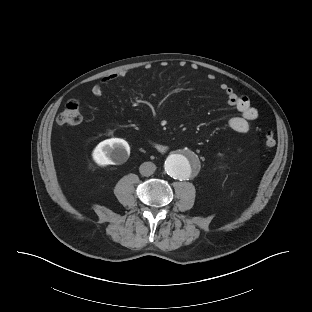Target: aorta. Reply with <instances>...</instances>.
I'll use <instances>...</instances> for the list:
<instances>
[{"label":"aorta","mask_w":312,"mask_h":312,"mask_svg":"<svg viewBox=\"0 0 312 312\" xmlns=\"http://www.w3.org/2000/svg\"><path fill=\"white\" fill-rule=\"evenodd\" d=\"M197 162L194 155H170L164 164L165 171L175 179H185L190 174L191 167Z\"/></svg>","instance_id":"obj_1"}]
</instances>
